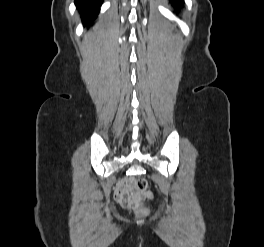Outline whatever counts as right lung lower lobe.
Masks as SVG:
<instances>
[{"label":"right lung lower lobe","instance_id":"1","mask_svg":"<svg viewBox=\"0 0 264 247\" xmlns=\"http://www.w3.org/2000/svg\"><path fill=\"white\" fill-rule=\"evenodd\" d=\"M103 0H75L84 25H88L97 17Z\"/></svg>","mask_w":264,"mask_h":247}]
</instances>
